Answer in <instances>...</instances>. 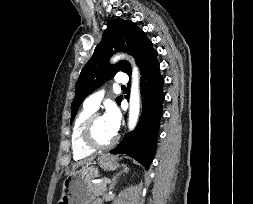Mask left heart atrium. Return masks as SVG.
<instances>
[{"label":"left heart atrium","mask_w":253,"mask_h":204,"mask_svg":"<svg viewBox=\"0 0 253 204\" xmlns=\"http://www.w3.org/2000/svg\"><path fill=\"white\" fill-rule=\"evenodd\" d=\"M104 118L110 129L116 133L119 130L121 124V113L117 106L114 104L108 105L104 114Z\"/></svg>","instance_id":"1"}]
</instances>
